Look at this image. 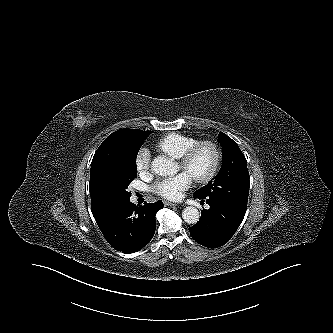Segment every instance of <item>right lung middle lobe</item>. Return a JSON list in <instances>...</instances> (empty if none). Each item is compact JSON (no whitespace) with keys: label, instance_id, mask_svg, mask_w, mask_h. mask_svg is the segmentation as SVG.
Listing matches in <instances>:
<instances>
[{"label":"right lung middle lobe","instance_id":"right-lung-middle-lobe-1","mask_svg":"<svg viewBox=\"0 0 333 333\" xmlns=\"http://www.w3.org/2000/svg\"><path fill=\"white\" fill-rule=\"evenodd\" d=\"M146 137L131 142L114 154L104 170V187L114 202L130 199L128 185L137 175L136 157Z\"/></svg>","mask_w":333,"mask_h":333}]
</instances>
